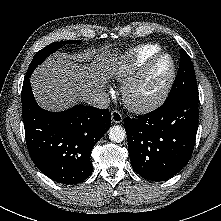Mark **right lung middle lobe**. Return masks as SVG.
Returning a JSON list of instances; mask_svg holds the SVG:
<instances>
[{
	"instance_id": "right-lung-middle-lobe-1",
	"label": "right lung middle lobe",
	"mask_w": 221,
	"mask_h": 221,
	"mask_svg": "<svg viewBox=\"0 0 221 221\" xmlns=\"http://www.w3.org/2000/svg\"><path fill=\"white\" fill-rule=\"evenodd\" d=\"M71 43H80V41H74V40H68V41H60V42H54L49 44L48 46L44 47L40 51H38L32 62L30 63L28 67L29 72H33L34 69L41 64L51 53L55 52L58 48H60L64 44H71Z\"/></svg>"
}]
</instances>
